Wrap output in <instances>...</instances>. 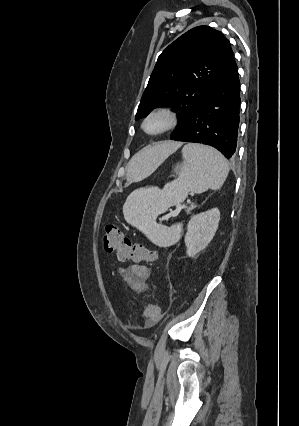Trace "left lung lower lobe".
Returning a JSON list of instances; mask_svg holds the SVG:
<instances>
[{"label":"left lung lower lobe","instance_id":"1","mask_svg":"<svg viewBox=\"0 0 299 426\" xmlns=\"http://www.w3.org/2000/svg\"><path fill=\"white\" fill-rule=\"evenodd\" d=\"M239 108L238 68L233 58L225 72L192 112L187 124L171 139L210 145L225 157L231 158L237 145Z\"/></svg>","mask_w":299,"mask_h":426}]
</instances>
